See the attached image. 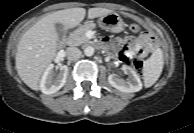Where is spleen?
<instances>
[{"label":"spleen","instance_id":"3e777b00","mask_svg":"<svg viewBox=\"0 0 194 133\" xmlns=\"http://www.w3.org/2000/svg\"><path fill=\"white\" fill-rule=\"evenodd\" d=\"M163 65V52L158 48L144 63L143 80L146 88L151 87L156 83L162 73Z\"/></svg>","mask_w":194,"mask_h":133}]
</instances>
